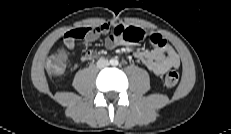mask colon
Wrapping results in <instances>:
<instances>
[{"mask_svg":"<svg viewBox=\"0 0 231 134\" xmlns=\"http://www.w3.org/2000/svg\"><path fill=\"white\" fill-rule=\"evenodd\" d=\"M67 55L63 50H59L51 55L46 63V69L50 74L60 75L66 68ZM179 75L176 71H169L164 78L167 87H174L178 83Z\"/></svg>","mask_w":231,"mask_h":134,"instance_id":"obj_1","label":"colon"}]
</instances>
